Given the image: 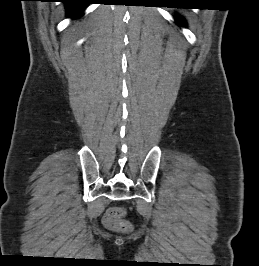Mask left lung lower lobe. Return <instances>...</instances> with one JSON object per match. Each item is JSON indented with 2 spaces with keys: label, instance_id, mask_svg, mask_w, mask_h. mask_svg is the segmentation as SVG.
<instances>
[{
  "label": "left lung lower lobe",
  "instance_id": "1",
  "mask_svg": "<svg viewBox=\"0 0 259 266\" xmlns=\"http://www.w3.org/2000/svg\"><path fill=\"white\" fill-rule=\"evenodd\" d=\"M176 20L180 25H183L184 21L181 17H176Z\"/></svg>",
  "mask_w": 259,
  "mask_h": 266
}]
</instances>
